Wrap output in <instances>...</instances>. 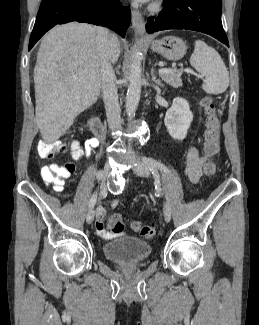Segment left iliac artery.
<instances>
[{
  "mask_svg": "<svg viewBox=\"0 0 259 325\" xmlns=\"http://www.w3.org/2000/svg\"><path fill=\"white\" fill-rule=\"evenodd\" d=\"M143 160H151V164H155V168H161V171L165 173H170L169 169L159 161H156L149 157H143Z\"/></svg>",
  "mask_w": 259,
  "mask_h": 325,
  "instance_id": "44dca946",
  "label": "left iliac artery"
}]
</instances>
